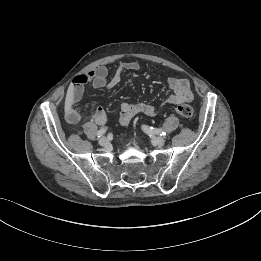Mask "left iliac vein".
<instances>
[{
  "label": "left iliac vein",
  "instance_id": "1",
  "mask_svg": "<svg viewBox=\"0 0 261 261\" xmlns=\"http://www.w3.org/2000/svg\"><path fill=\"white\" fill-rule=\"evenodd\" d=\"M155 143L158 146H163L165 143V139L161 136H157V137H155Z\"/></svg>",
  "mask_w": 261,
  "mask_h": 261
}]
</instances>
